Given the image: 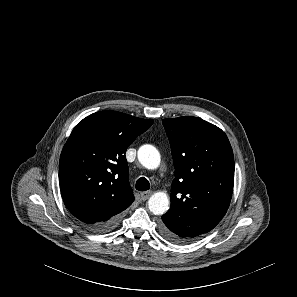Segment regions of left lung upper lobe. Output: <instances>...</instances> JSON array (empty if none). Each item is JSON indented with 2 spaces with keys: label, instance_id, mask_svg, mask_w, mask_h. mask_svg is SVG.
Instances as JSON below:
<instances>
[{
  "label": "left lung upper lobe",
  "instance_id": "left-lung-upper-lobe-1",
  "mask_svg": "<svg viewBox=\"0 0 297 297\" xmlns=\"http://www.w3.org/2000/svg\"><path fill=\"white\" fill-rule=\"evenodd\" d=\"M174 160L170 216L188 241L212 230L226 214L234 184V156L226 134L197 117L163 119Z\"/></svg>",
  "mask_w": 297,
  "mask_h": 297
}]
</instances>
